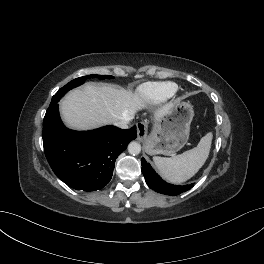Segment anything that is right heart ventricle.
Here are the masks:
<instances>
[{
    "label": "right heart ventricle",
    "instance_id": "1",
    "mask_svg": "<svg viewBox=\"0 0 264 264\" xmlns=\"http://www.w3.org/2000/svg\"><path fill=\"white\" fill-rule=\"evenodd\" d=\"M177 90V85L171 81L148 82L141 85L138 93L142 99L149 103H159L171 96Z\"/></svg>",
    "mask_w": 264,
    "mask_h": 264
}]
</instances>
